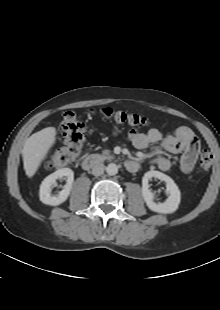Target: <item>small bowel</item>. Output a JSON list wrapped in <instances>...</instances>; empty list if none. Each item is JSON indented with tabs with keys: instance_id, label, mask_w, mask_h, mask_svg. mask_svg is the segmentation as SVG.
Segmentation results:
<instances>
[{
	"instance_id": "1",
	"label": "small bowel",
	"mask_w": 220,
	"mask_h": 310,
	"mask_svg": "<svg viewBox=\"0 0 220 310\" xmlns=\"http://www.w3.org/2000/svg\"><path fill=\"white\" fill-rule=\"evenodd\" d=\"M104 109L101 110L102 114ZM113 133L117 134V130L114 129ZM128 140L140 150L157 144L168 153H181L180 168L184 173L193 170L200 150V141L195 133L185 126L170 133H162L157 128H150L145 133L133 129L128 134ZM154 163L162 171H168L172 166L171 161L165 156L156 157Z\"/></svg>"
}]
</instances>
